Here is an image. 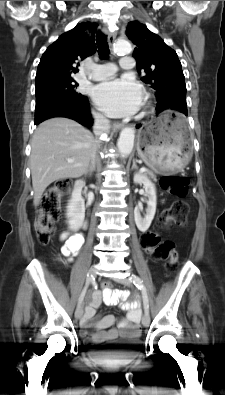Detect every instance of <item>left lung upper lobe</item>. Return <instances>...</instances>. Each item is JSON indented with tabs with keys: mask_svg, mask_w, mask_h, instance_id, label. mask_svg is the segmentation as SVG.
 Here are the masks:
<instances>
[{
	"mask_svg": "<svg viewBox=\"0 0 225 395\" xmlns=\"http://www.w3.org/2000/svg\"><path fill=\"white\" fill-rule=\"evenodd\" d=\"M128 38L136 45L133 57L142 81L156 90L157 101L179 100L186 105V84L176 52L138 21L129 22Z\"/></svg>",
	"mask_w": 225,
	"mask_h": 395,
	"instance_id": "1",
	"label": "left lung upper lobe"
}]
</instances>
